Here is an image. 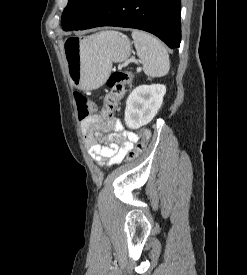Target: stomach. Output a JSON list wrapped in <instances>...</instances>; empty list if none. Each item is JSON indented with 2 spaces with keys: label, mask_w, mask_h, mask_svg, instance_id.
<instances>
[{
  "label": "stomach",
  "mask_w": 247,
  "mask_h": 275,
  "mask_svg": "<svg viewBox=\"0 0 247 275\" xmlns=\"http://www.w3.org/2000/svg\"><path fill=\"white\" fill-rule=\"evenodd\" d=\"M103 38H68L64 41V58L72 86L93 90L109 76L113 63L126 61L132 45L126 35L103 32Z\"/></svg>",
  "instance_id": "1"
}]
</instances>
